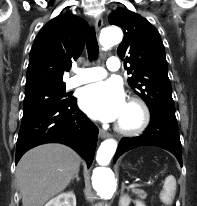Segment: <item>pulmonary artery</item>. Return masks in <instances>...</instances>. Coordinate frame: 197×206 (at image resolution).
Instances as JSON below:
<instances>
[{
	"instance_id": "1",
	"label": "pulmonary artery",
	"mask_w": 197,
	"mask_h": 206,
	"mask_svg": "<svg viewBox=\"0 0 197 206\" xmlns=\"http://www.w3.org/2000/svg\"><path fill=\"white\" fill-rule=\"evenodd\" d=\"M106 67L110 71H117L120 68L119 59L116 57L109 58ZM75 73L66 83L68 88L100 80L106 76V70L102 67L78 68L75 70Z\"/></svg>"
}]
</instances>
